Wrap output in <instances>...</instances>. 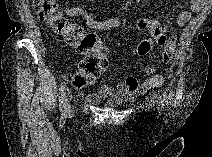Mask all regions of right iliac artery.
I'll list each match as a JSON object with an SVG mask.
<instances>
[{
	"instance_id": "1",
	"label": "right iliac artery",
	"mask_w": 212,
	"mask_h": 157,
	"mask_svg": "<svg viewBox=\"0 0 212 157\" xmlns=\"http://www.w3.org/2000/svg\"><path fill=\"white\" fill-rule=\"evenodd\" d=\"M65 90L66 83L62 82L59 87V108L62 113H65Z\"/></svg>"
}]
</instances>
